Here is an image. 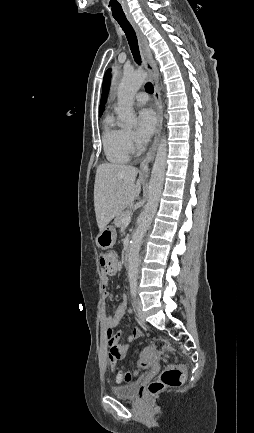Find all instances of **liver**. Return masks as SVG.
Wrapping results in <instances>:
<instances>
[{"label":"liver","instance_id":"obj_1","mask_svg":"<svg viewBox=\"0 0 254 433\" xmlns=\"http://www.w3.org/2000/svg\"><path fill=\"white\" fill-rule=\"evenodd\" d=\"M130 165L103 163L97 167L94 184V208L100 231L139 196L141 179Z\"/></svg>","mask_w":254,"mask_h":433}]
</instances>
